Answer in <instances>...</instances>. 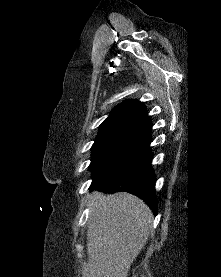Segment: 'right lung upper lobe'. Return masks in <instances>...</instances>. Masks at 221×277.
Masks as SVG:
<instances>
[{"mask_svg":"<svg viewBox=\"0 0 221 277\" xmlns=\"http://www.w3.org/2000/svg\"><path fill=\"white\" fill-rule=\"evenodd\" d=\"M147 116L146 107L136 100H127L118 105L109 117L100 125L120 126L128 124L142 125L143 119Z\"/></svg>","mask_w":221,"mask_h":277,"instance_id":"cb5924a9","label":"right lung upper lobe"}]
</instances>
